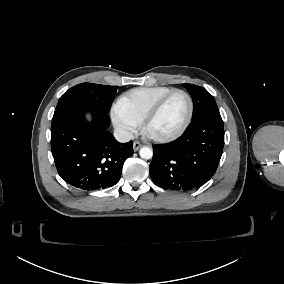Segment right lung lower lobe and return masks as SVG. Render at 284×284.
Here are the masks:
<instances>
[{"instance_id":"1","label":"right lung lower lobe","mask_w":284,"mask_h":284,"mask_svg":"<svg viewBox=\"0 0 284 284\" xmlns=\"http://www.w3.org/2000/svg\"><path fill=\"white\" fill-rule=\"evenodd\" d=\"M87 112L92 113V122L85 119ZM109 124L108 113L89 107H72L53 117L52 155L67 183L93 191L119 181L124 161L133 154V143H119L106 130Z\"/></svg>"}]
</instances>
